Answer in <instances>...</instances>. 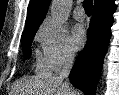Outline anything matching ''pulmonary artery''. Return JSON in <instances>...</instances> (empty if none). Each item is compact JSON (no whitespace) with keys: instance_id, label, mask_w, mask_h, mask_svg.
Segmentation results:
<instances>
[{"instance_id":"pulmonary-artery-1","label":"pulmonary artery","mask_w":119,"mask_h":95,"mask_svg":"<svg viewBox=\"0 0 119 95\" xmlns=\"http://www.w3.org/2000/svg\"><path fill=\"white\" fill-rule=\"evenodd\" d=\"M73 15H74L75 19L78 21H83L85 19L84 10L82 7H79V6L75 8Z\"/></svg>"}]
</instances>
